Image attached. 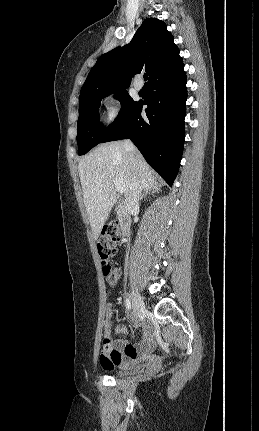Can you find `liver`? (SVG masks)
Listing matches in <instances>:
<instances>
[{
    "instance_id": "6515ba94",
    "label": "liver",
    "mask_w": 259,
    "mask_h": 431,
    "mask_svg": "<svg viewBox=\"0 0 259 431\" xmlns=\"http://www.w3.org/2000/svg\"><path fill=\"white\" fill-rule=\"evenodd\" d=\"M134 155L135 165L130 160L124 142L115 141L99 145L79 161L78 171L84 204L95 239L99 237L116 200L113 180L123 182L126 198L132 192L136 181L145 191L158 185V176L140 152L135 150Z\"/></svg>"
}]
</instances>
